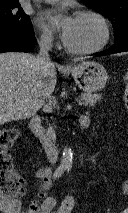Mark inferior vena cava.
I'll return each mask as SVG.
<instances>
[{"label":"inferior vena cava","instance_id":"1","mask_svg":"<svg viewBox=\"0 0 128 213\" xmlns=\"http://www.w3.org/2000/svg\"><path fill=\"white\" fill-rule=\"evenodd\" d=\"M52 39L50 37L42 36L39 41V54L35 58L36 65L39 68L40 75L43 78H46L49 74V70L52 67L53 63H51L49 58V51L51 49ZM52 91L45 85L42 81L40 82V89H39V97L44 103L51 97Z\"/></svg>","mask_w":128,"mask_h":213}]
</instances>
